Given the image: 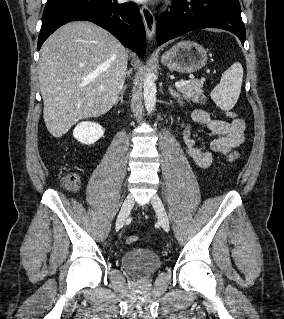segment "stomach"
<instances>
[{
	"mask_svg": "<svg viewBox=\"0 0 284 319\" xmlns=\"http://www.w3.org/2000/svg\"><path fill=\"white\" fill-rule=\"evenodd\" d=\"M161 63L171 71L192 73L206 65L207 52L194 41H181L162 55Z\"/></svg>",
	"mask_w": 284,
	"mask_h": 319,
	"instance_id": "stomach-1",
	"label": "stomach"
}]
</instances>
